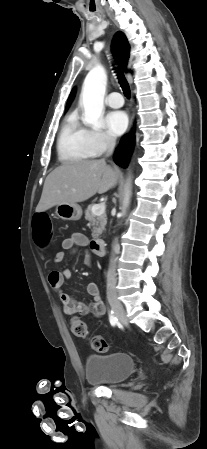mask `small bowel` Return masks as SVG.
<instances>
[{
    "label": "small bowel",
    "instance_id": "small-bowel-1",
    "mask_svg": "<svg viewBox=\"0 0 207 449\" xmlns=\"http://www.w3.org/2000/svg\"><path fill=\"white\" fill-rule=\"evenodd\" d=\"M88 238L81 233H73L62 242V248L71 252L75 251L78 246H87ZM65 259L64 252L60 251L54 255V263H62ZM86 264H91V256L87 254ZM72 278V272L69 269L52 270L48 275V282L50 286L58 292L60 301L64 305V313L67 315L81 314L92 315L94 317H102L106 308L103 304L98 285L95 282L87 284V293L91 297L90 304L83 303L73 296L69 295L63 290L65 281Z\"/></svg>",
    "mask_w": 207,
    "mask_h": 449
}]
</instances>
